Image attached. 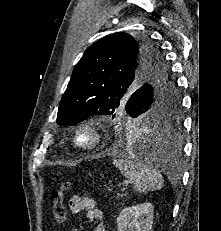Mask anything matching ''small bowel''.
Masks as SVG:
<instances>
[{"label": "small bowel", "mask_w": 221, "mask_h": 231, "mask_svg": "<svg viewBox=\"0 0 221 231\" xmlns=\"http://www.w3.org/2000/svg\"><path fill=\"white\" fill-rule=\"evenodd\" d=\"M69 207L73 213L86 211L89 219L99 221L93 231H106L105 226L100 222L103 214L97 208L96 201L93 198L79 195L72 196L69 200Z\"/></svg>", "instance_id": "obj_1"}]
</instances>
